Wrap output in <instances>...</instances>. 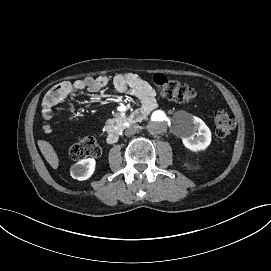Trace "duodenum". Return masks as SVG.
Returning a JSON list of instances; mask_svg holds the SVG:
<instances>
[{
    "instance_id": "410a0bca",
    "label": "duodenum",
    "mask_w": 271,
    "mask_h": 271,
    "mask_svg": "<svg viewBox=\"0 0 271 271\" xmlns=\"http://www.w3.org/2000/svg\"><path fill=\"white\" fill-rule=\"evenodd\" d=\"M147 110H145L144 108L138 109L136 110L131 116H130V122L132 123H137L140 122L144 116L146 115ZM118 133L115 131H112L108 134L107 136V142L108 144H114L117 142L118 140Z\"/></svg>"
}]
</instances>
